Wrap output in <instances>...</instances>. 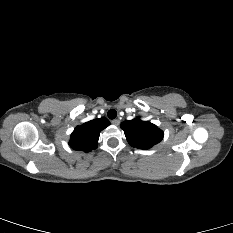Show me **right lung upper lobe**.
Wrapping results in <instances>:
<instances>
[{
    "label": "right lung upper lobe",
    "mask_w": 233,
    "mask_h": 233,
    "mask_svg": "<svg viewBox=\"0 0 233 233\" xmlns=\"http://www.w3.org/2000/svg\"><path fill=\"white\" fill-rule=\"evenodd\" d=\"M109 125V120L102 117L77 126L71 134L70 147L84 152L96 149L100 132Z\"/></svg>",
    "instance_id": "cb5924a9"
}]
</instances>
